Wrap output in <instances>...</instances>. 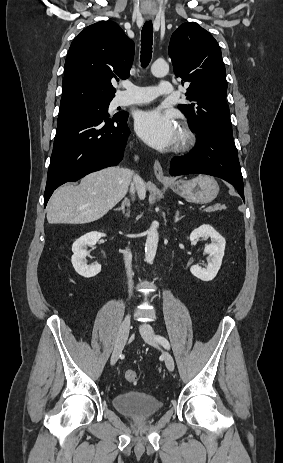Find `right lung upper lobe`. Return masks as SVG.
Returning a JSON list of instances; mask_svg holds the SVG:
<instances>
[{"instance_id": "obj_1", "label": "right lung upper lobe", "mask_w": 283, "mask_h": 463, "mask_svg": "<svg viewBox=\"0 0 283 463\" xmlns=\"http://www.w3.org/2000/svg\"><path fill=\"white\" fill-rule=\"evenodd\" d=\"M134 42L112 21L85 28L72 42L65 61L60 110L91 100L112 99L111 79L130 76Z\"/></svg>"}]
</instances>
